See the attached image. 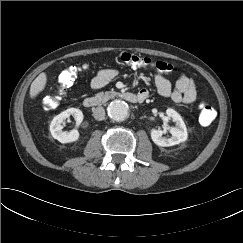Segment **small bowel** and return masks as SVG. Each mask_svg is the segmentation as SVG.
<instances>
[{
  "mask_svg": "<svg viewBox=\"0 0 243 243\" xmlns=\"http://www.w3.org/2000/svg\"><path fill=\"white\" fill-rule=\"evenodd\" d=\"M115 69H104L97 73L91 81L93 89H101L117 76ZM154 84L157 92L163 97H169L176 103L193 104L198 100V93L193 81L186 75L180 74L172 87L171 82L162 74L154 75ZM140 95L148 97V90L142 89Z\"/></svg>",
  "mask_w": 243,
  "mask_h": 243,
  "instance_id": "obj_1",
  "label": "small bowel"
}]
</instances>
